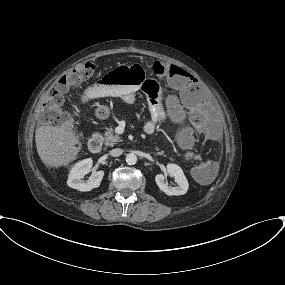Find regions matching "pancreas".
Masks as SVG:
<instances>
[{"label": "pancreas", "instance_id": "pancreas-1", "mask_svg": "<svg viewBox=\"0 0 285 285\" xmlns=\"http://www.w3.org/2000/svg\"><path fill=\"white\" fill-rule=\"evenodd\" d=\"M104 143L106 146H113L116 143L121 141V138L119 135L115 134L114 129L112 127L108 128L106 130V132L104 133ZM156 150L158 151L159 149L156 148ZM158 155H164V152H157Z\"/></svg>", "mask_w": 285, "mask_h": 285}]
</instances>
